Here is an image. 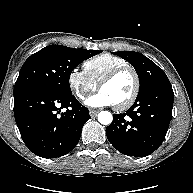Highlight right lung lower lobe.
I'll return each mask as SVG.
<instances>
[{
	"label": "right lung lower lobe",
	"mask_w": 193,
	"mask_h": 193,
	"mask_svg": "<svg viewBox=\"0 0 193 193\" xmlns=\"http://www.w3.org/2000/svg\"><path fill=\"white\" fill-rule=\"evenodd\" d=\"M14 115L26 146L43 158H56L71 151L84 123L90 119L88 109L75 96L48 87L30 88L14 95Z\"/></svg>",
	"instance_id": "right-lung-lower-lobe-1"
}]
</instances>
